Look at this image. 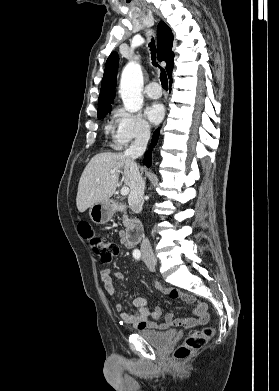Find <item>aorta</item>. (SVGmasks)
I'll list each match as a JSON object with an SVG mask.
<instances>
[{
    "mask_svg": "<svg viewBox=\"0 0 279 391\" xmlns=\"http://www.w3.org/2000/svg\"><path fill=\"white\" fill-rule=\"evenodd\" d=\"M142 86L143 75L141 66L134 61H130L122 71L119 90L127 111L134 113L142 108Z\"/></svg>",
    "mask_w": 279,
    "mask_h": 391,
    "instance_id": "aorta-1",
    "label": "aorta"
}]
</instances>
